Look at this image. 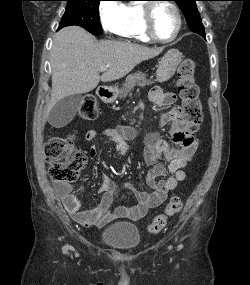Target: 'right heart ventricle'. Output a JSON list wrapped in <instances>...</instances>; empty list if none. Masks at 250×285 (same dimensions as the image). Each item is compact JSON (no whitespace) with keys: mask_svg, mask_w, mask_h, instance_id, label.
I'll return each instance as SVG.
<instances>
[{"mask_svg":"<svg viewBox=\"0 0 250 285\" xmlns=\"http://www.w3.org/2000/svg\"><path fill=\"white\" fill-rule=\"evenodd\" d=\"M119 35L139 41L148 43L151 40L146 36L143 28V4L129 3L125 5L124 20Z\"/></svg>","mask_w":250,"mask_h":285,"instance_id":"obj_1","label":"right heart ventricle"}]
</instances>
